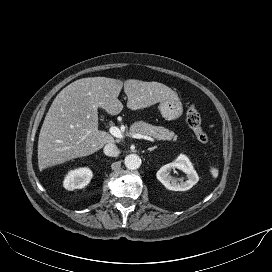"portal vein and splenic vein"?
<instances>
[{
    "mask_svg": "<svg viewBox=\"0 0 272 272\" xmlns=\"http://www.w3.org/2000/svg\"><path fill=\"white\" fill-rule=\"evenodd\" d=\"M109 132L116 138L122 139L124 137L121 130L116 126H111L109 128ZM132 137L136 138V139H145V140H148V141H151V142H155V140L152 137L147 136V135L138 134V133H134L132 135Z\"/></svg>",
    "mask_w": 272,
    "mask_h": 272,
    "instance_id": "1",
    "label": "portal vein and splenic vein"
}]
</instances>
